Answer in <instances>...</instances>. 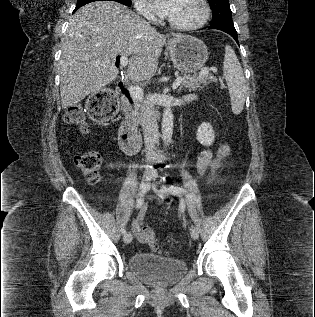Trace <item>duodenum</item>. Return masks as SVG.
Instances as JSON below:
<instances>
[{
  "instance_id": "1",
  "label": "duodenum",
  "mask_w": 315,
  "mask_h": 317,
  "mask_svg": "<svg viewBox=\"0 0 315 317\" xmlns=\"http://www.w3.org/2000/svg\"><path fill=\"white\" fill-rule=\"evenodd\" d=\"M122 105L130 110L134 109V100L125 85L117 80ZM119 146L126 154H135L141 147V137L135 127L129 123L123 124L119 129Z\"/></svg>"
}]
</instances>
